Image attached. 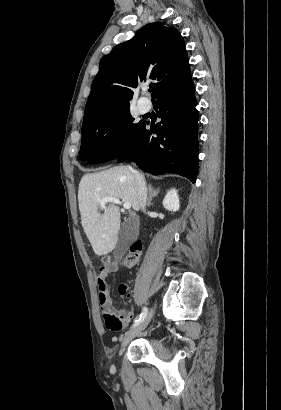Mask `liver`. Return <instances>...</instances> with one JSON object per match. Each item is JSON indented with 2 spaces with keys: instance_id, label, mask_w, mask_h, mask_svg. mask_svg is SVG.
<instances>
[{
  "instance_id": "liver-1",
  "label": "liver",
  "mask_w": 281,
  "mask_h": 410,
  "mask_svg": "<svg viewBox=\"0 0 281 410\" xmlns=\"http://www.w3.org/2000/svg\"><path fill=\"white\" fill-rule=\"evenodd\" d=\"M115 197L130 202L139 210L137 183L132 171L117 166L96 173L85 174L79 183L78 202L81 223L90 244L98 256L110 253L116 246L120 230V210L112 202L103 207L99 200ZM103 210V214L99 212Z\"/></svg>"
}]
</instances>
